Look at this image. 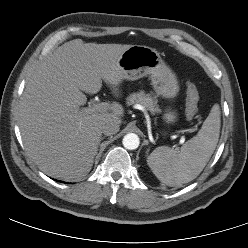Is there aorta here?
<instances>
[{"label": "aorta", "mask_w": 248, "mask_h": 248, "mask_svg": "<svg viewBox=\"0 0 248 248\" xmlns=\"http://www.w3.org/2000/svg\"><path fill=\"white\" fill-rule=\"evenodd\" d=\"M122 143L126 149L134 150L138 148L140 140L138 135L134 133H129L124 136Z\"/></svg>", "instance_id": "762f6f07"}]
</instances>
